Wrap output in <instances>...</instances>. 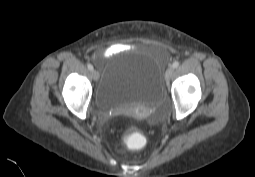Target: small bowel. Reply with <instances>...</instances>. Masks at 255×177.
<instances>
[{
	"label": "small bowel",
	"mask_w": 255,
	"mask_h": 177,
	"mask_svg": "<svg viewBox=\"0 0 255 177\" xmlns=\"http://www.w3.org/2000/svg\"><path fill=\"white\" fill-rule=\"evenodd\" d=\"M125 49V46L121 44H115L108 47L102 54V58H109L118 54L121 50Z\"/></svg>",
	"instance_id": "obj_1"
}]
</instances>
